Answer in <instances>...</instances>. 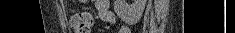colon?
I'll use <instances>...</instances> for the list:
<instances>
[{
	"label": "colon",
	"mask_w": 235,
	"mask_h": 33,
	"mask_svg": "<svg viewBox=\"0 0 235 33\" xmlns=\"http://www.w3.org/2000/svg\"><path fill=\"white\" fill-rule=\"evenodd\" d=\"M92 16L87 12H74L70 18V26L75 33H90Z\"/></svg>",
	"instance_id": "5ec220e1"
}]
</instances>
